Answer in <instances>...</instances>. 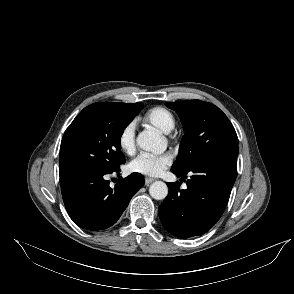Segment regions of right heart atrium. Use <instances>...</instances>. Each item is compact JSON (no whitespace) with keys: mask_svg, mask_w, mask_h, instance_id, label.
<instances>
[{"mask_svg":"<svg viewBox=\"0 0 294 294\" xmlns=\"http://www.w3.org/2000/svg\"><path fill=\"white\" fill-rule=\"evenodd\" d=\"M119 148L126 154H132L136 147V123H127L118 135Z\"/></svg>","mask_w":294,"mask_h":294,"instance_id":"1","label":"right heart atrium"}]
</instances>
